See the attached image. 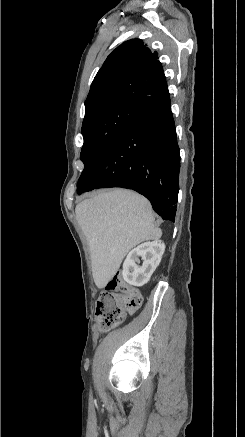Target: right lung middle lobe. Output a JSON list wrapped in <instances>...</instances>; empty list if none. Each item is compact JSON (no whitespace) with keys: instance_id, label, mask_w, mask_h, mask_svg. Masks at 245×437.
<instances>
[{"instance_id":"dd1d6c3e","label":"right lung middle lobe","mask_w":245,"mask_h":437,"mask_svg":"<svg viewBox=\"0 0 245 437\" xmlns=\"http://www.w3.org/2000/svg\"><path fill=\"white\" fill-rule=\"evenodd\" d=\"M139 109L127 102H112L85 114L82 124L84 144L80 154L84 170L78 180L77 190Z\"/></svg>"}]
</instances>
